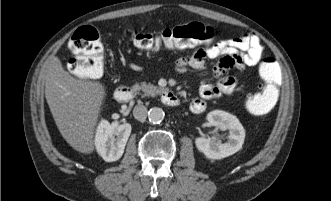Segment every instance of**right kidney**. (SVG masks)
I'll list each match as a JSON object with an SVG mask.
<instances>
[{"mask_svg":"<svg viewBox=\"0 0 331 201\" xmlns=\"http://www.w3.org/2000/svg\"><path fill=\"white\" fill-rule=\"evenodd\" d=\"M131 133V125L128 123L110 124L107 120H101L95 135L97 152L106 162L116 161L121 158L128 138Z\"/></svg>","mask_w":331,"mask_h":201,"instance_id":"1","label":"right kidney"}]
</instances>
